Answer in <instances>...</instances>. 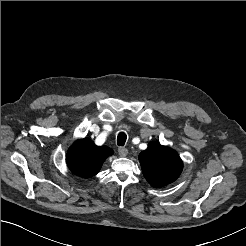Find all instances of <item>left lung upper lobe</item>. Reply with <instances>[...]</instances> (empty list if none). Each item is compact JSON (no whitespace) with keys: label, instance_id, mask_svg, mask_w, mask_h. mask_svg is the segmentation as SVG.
I'll return each mask as SVG.
<instances>
[{"label":"left lung upper lobe","instance_id":"1","mask_svg":"<svg viewBox=\"0 0 246 246\" xmlns=\"http://www.w3.org/2000/svg\"><path fill=\"white\" fill-rule=\"evenodd\" d=\"M139 161L146 180L153 187H162L174 182L182 172L183 163L173 149L151 142L139 154Z\"/></svg>","mask_w":246,"mask_h":246}]
</instances>
